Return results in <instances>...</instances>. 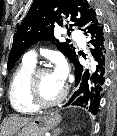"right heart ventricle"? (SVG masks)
<instances>
[{
  "label": "right heart ventricle",
  "mask_w": 117,
  "mask_h": 136,
  "mask_svg": "<svg viewBox=\"0 0 117 136\" xmlns=\"http://www.w3.org/2000/svg\"><path fill=\"white\" fill-rule=\"evenodd\" d=\"M35 69V63L23 61L12 76L9 86V100L12 108L20 114H32L38 109L34 107L27 96L29 77Z\"/></svg>",
  "instance_id": "obj_1"
}]
</instances>
